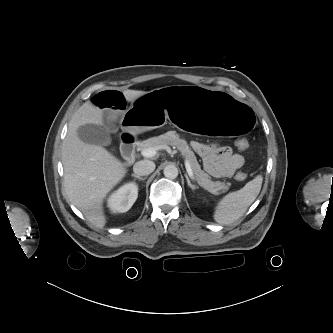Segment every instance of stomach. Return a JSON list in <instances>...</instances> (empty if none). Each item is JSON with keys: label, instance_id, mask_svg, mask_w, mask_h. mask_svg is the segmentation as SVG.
<instances>
[{"label": "stomach", "instance_id": "stomach-1", "mask_svg": "<svg viewBox=\"0 0 333 333\" xmlns=\"http://www.w3.org/2000/svg\"><path fill=\"white\" fill-rule=\"evenodd\" d=\"M123 122V128L132 134L174 122L186 132L206 138L242 139L254 130L256 116L250 106L230 96L178 85L137 98Z\"/></svg>", "mask_w": 333, "mask_h": 333}]
</instances>
